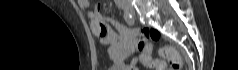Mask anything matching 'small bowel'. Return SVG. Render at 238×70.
Returning a JSON list of instances; mask_svg holds the SVG:
<instances>
[{"mask_svg":"<svg viewBox=\"0 0 238 70\" xmlns=\"http://www.w3.org/2000/svg\"><path fill=\"white\" fill-rule=\"evenodd\" d=\"M80 8L86 13L89 19L92 33L104 45H108V55L118 70H139L138 61L147 64L144 52L140 57H134L130 62L127 58L137 48L142 50L137 40L138 31L128 28L118 21L104 16L97 10H90L88 0H78Z\"/></svg>","mask_w":238,"mask_h":70,"instance_id":"1","label":"small bowel"}]
</instances>
